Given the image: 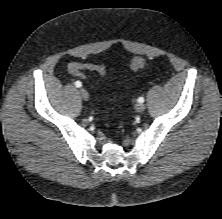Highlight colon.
<instances>
[{
  "mask_svg": "<svg viewBox=\"0 0 222 219\" xmlns=\"http://www.w3.org/2000/svg\"><path fill=\"white\" fill-rule=\"evenodd\" d=\"M146 64V60L143 57L137 56L134 57L130 63V68L132 71L137 72L141 70ZM93 71L98 73L101 76H105L107 74V70L105 66L100 64H95L92 67Z\"/></svg>",
  "mask_w": 222,
  "mask_h": 219,
  "instance_id": "colon-1",
  "label": "colon"
}]
</instances>
